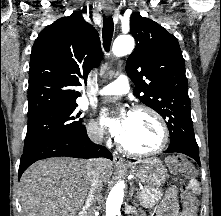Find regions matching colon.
<instances>
[{"instance_id": "colon-1", "label": "colon", "mask_w": 221, "mask_h": 216, "mask_svg": "<svg viewBox=\"0 0 221 216\" xmlns=\"http://www.w3.org/2000/svg\"><path fill=\"white\" fill-rule=\"evenodd\" d=\"M168 165L171 171L178 173L189 172V167L185 159L181 157H173L168 160ZM181 200L183 205L182 212L187 216H195L196 213V201L194 196L191 194L190 190L187 187H184L181 192Z\"/></svg>"}]
</instances>
